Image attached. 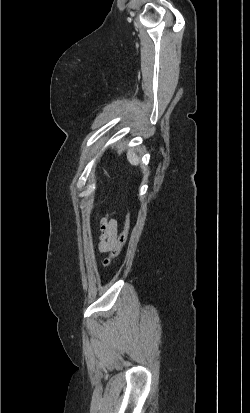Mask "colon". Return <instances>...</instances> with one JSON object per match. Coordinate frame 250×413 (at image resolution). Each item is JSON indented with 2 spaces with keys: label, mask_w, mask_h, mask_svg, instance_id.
Segmentation results:
<instances>
[{
  "label": "colon",
  "mask_w": 250,
  "mask_h": 413,
  "mask_svg": "<svg viewBox=\"0 0 250 413\" xmlns=\"http://www.w3.org/2000/svg\"><path fill=\"white\" fill-rule=\"evenodd\" d=\"M130 230V213L126 215L124 228L117 238L114 248L110 251L109 256L104 260V267L108 268L112 261L120 254L122 247L125 245Z\"/></svg>",
  "instance_id": "1"
}]
</instances>
